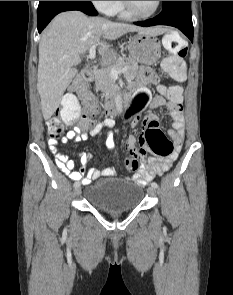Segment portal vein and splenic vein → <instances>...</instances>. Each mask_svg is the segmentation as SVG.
<instances>
[{"label":"portal vein and splenic vein","instance_id":"1","mask_svg":"<svg viewBox=\"0 0 233 295\" xmlns=\"http://www.w3.org/2000/svg\"><path fill=\"white\" fill-rule=\"evenodd\" d=\"M96 57V46L95 45H92L90 50H89V54L87 55V58L88 59H95ZM128 70L127 67H123L121 69H116V68H113L111 69V75L113 77H116L118 76L120 73H124Z\"/></svg>","mask_w":233,"mask_h":295}]
</instances>
